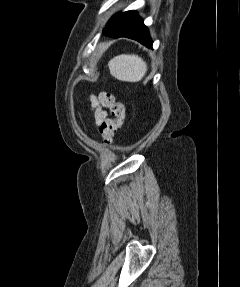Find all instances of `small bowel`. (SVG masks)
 I'll use <instances>...</instances> for the list:
<instances>
[{"mask_svg": "<svg viewBox=\"0 0 240 287\" xmlns=\"http://www.w3.org/2000/svg\"><path fill=\"white\" fill-rule=\"evenodd\" d=\"M89 108L93 112V120L95 124L100 128L101 125L107 120V111L105 107L101 106L97 96H89Z\"/></svg>", "mask_w": 240, "mask_h": 287, "instance_id": "obj_1", "label": "small bowel"}]
</instances>
